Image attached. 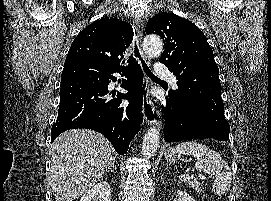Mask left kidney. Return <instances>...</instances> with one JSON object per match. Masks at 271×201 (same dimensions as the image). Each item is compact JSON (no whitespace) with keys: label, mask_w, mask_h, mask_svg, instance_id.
Returning <instances> with one entry per match:
<instances>
[{"label":"left kidney","mask_w":271,"mask_h":201,"mask_svg":"<svg viewBox=\"0 0 271 201\" xmlns=\"http://www.w3.org/2000/svg\"><path fill=\"white\" fill-rule=\"evenodd\" d=\"M173 201H195L189 194L185 191L177 190L176 197Z\"/></svg>","instance_id":"obj_1"}]
</instances>
